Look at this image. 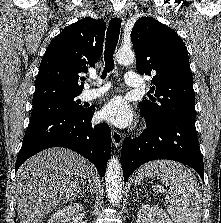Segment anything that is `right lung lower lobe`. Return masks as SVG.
<instances>
[{"instance_id":"right-lung-lower-lobe-1","label":"right lung lower lobe","mask_w":221,"mask_h":223,"mask_svg":"<svg viewBox=\"0 0 221 223\" xmlns=\"http://www.w3.org/2000/svg\"><path fill=\"white\" fill-rule=\"evenodd\" d=\"M93 111L91 107L81 113H52L30 120L15 171L43 149L64 147L90 160L104 176L111 151V130L106 123L91 124Z\"/></svg>"}]
</instances>
